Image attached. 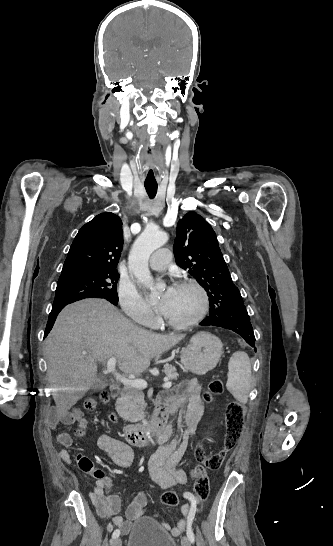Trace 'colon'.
<instances>
[{"instance_id": "colon-1", "label": "colon", "mask_w": 333, "mask_h": 546, "mask_svg": "<svg viewBox=\"0 0 333 546\" xmlns=\"http://www.w3.org/2000/svg\"><path fill=\"white\" fill-rule=\"evenodd\" d=\"M224 390L223 383L220 380H213L209 383L208 389L203 393L202 399L205 402L212 401L214 396L222 394ZM99 399L106 403L110 400V393L103 390ZM97 401L94 398H88L84 401V409L92 411L96 408ZM245 409L243 405L237 401H232L228 404L225 411V438L223 446L220 450L208 455L201 443L196 447V458L199 464L192 469L194 475L193 495L197 502H204L209 495L210 485L208 471H216L223 465L226 456L237 445L244 424ZM82 434V431H78ZM178 496L173 491L165 492L161 501L165 506L174 507L178 504Z\"/></svg>"}]
</instances>
